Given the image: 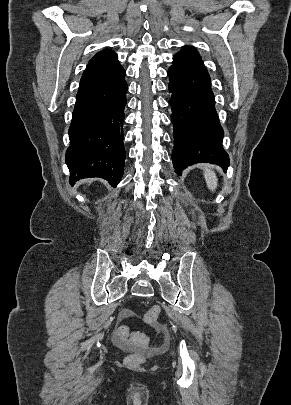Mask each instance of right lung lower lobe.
<instances>
[{"mask_svg": "<svg viewBox=\"0 0 291 405\" xmlns=\"http://www.w3.org/2000/svg\"><path fill=\"white\" fill-rule=\"evenodd\" d=\"M125 70L115 77L81 88L69 128L65 160L70 182L100 177L117 186L126 158L123 144L127 83Z\"/></svg>", "mask_w": 291, "mask_h": 405, "instance_id": "1", "label": "right lung lower lobe"}]
</instances>
